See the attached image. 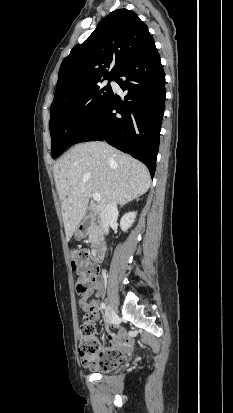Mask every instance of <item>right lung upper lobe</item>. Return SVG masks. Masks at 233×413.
<instances>
[{"instance_id": "obj_1", "label": "right lung upper lobe", "mask_w": 233, "mask_h": 413, "mask_svg": "<svg viewBox=\"0 0 233 413\" xmlns=\"http://www.w3.org/2000/svg\"><path fill=\"white\" fill-rule=\"evenodd\" d=\"M153 42L147 26L135 12L127 9L111 12L88 39L74 46L63 60L53 102L102 79L114 78L123 64L140 55Z\"/></svg>"}]
</instances>
